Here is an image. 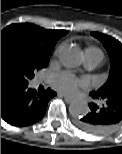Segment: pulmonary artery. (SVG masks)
Listing matches in <instances>:
<instances>
[{"mask_svg":"<svg viewBox=\"0 0 122 154\" xmlns=\"http://www.w3.org/2000/svg\"><path fill=\"white\" fill-rule=\"evenodd\" d=\"M102 55L94 52L85 53V67L87 69H94L98 67L102 62Z\"/></svg>","mask_w":122,"mask_h":154,"instance_id":"obj_1","label":"pulmonary artery"}]
</instances>
